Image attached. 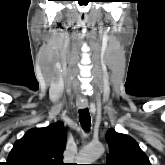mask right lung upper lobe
<instances>
[{
	"instance_id": "cb5924a9",
	"label": "right lung upper lobe",
	"mask_w": 165,
	"mask_h": 165,
	"mask_svg": "<svg viewBox=\"0 0 165 165\" xmlns=\"http://www.w3.org/2000/svg\"><path fill=\"white\" fill-rule=\"evenodd\" d=\"M66 134L61 122L34 128L15 142L7 165H64Z\"/></svg>"
}]
</instances>
